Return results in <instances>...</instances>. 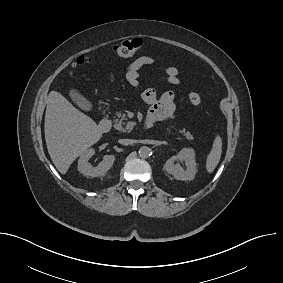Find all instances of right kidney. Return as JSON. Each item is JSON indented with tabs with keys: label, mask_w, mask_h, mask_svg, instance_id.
<instances>
[{
	"label": "right kidney",
	"mask_w": 283,
	"mask_h": 283,
	"mask_svg": "<svg viewBox=\"0 0 283 283\" xmlns=\"http://www.w3.org/2000/svg\"><path fill=\"white\" fill-rule=\"evenodd\" d=\"M95 154L93 148L85 150L78 160V171L85 176L90 177H101L104 176L107 171L112 167L115 156L105 155L103 161L98 164V166H92L89 163V159Z\"/></svg>",
	"instance_id": "right-kidney-1"
}]
</instances>
